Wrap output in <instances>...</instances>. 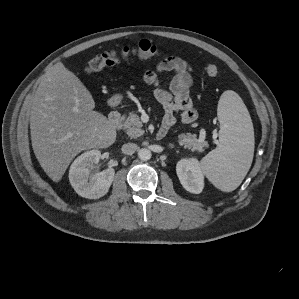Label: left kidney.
Here are the masks:
<instances>
[{"label":"left kidney","instance_id":"left-kidney-1","mask_svg":"<svg viewBox=\"0 0 299 299\" xmlns=\"http://www.w3.org/2000/svg\"><path fill=\"white\" fill-rule=\"evenodd\" d=\"M176 172L180 183L189 192L199 194L204 187V176L195 158L182 159L177 163Z\"/></svg>","mask_w":299,"mask_h":299}]
</instances>
